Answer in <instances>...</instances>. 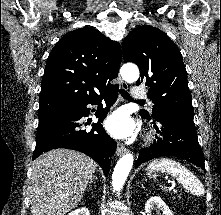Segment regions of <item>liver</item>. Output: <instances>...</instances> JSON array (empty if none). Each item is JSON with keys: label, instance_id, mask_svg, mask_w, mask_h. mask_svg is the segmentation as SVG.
<instances>
[{"label": "liver", "instance_id": "6515ba94", "mask_svg": "<svg viewBox=\"0 0 221 215\" xmlns=\"http://www.w3.org/2000/svg\"><path fill=\"white\" fill-rule=\"evenodd\" d=\"M96 162L83 153L53 149L32 164V215H64L78 206L96 170Z\"/></svg>", "mask_w": 221, "mask_h": 215}]
</instances>
